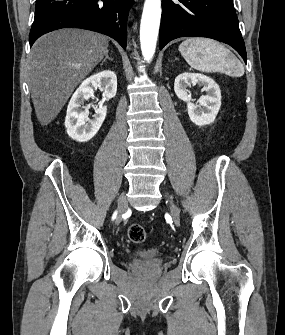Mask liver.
I'll return each mask as SVG.
<instances>
[{
	"instance_id": "6515ba94",
	"label": "liver",
	"mask_w": 285,
	"mask_h": 335,
	"mask_svg": "<svg viewBox=\"0 0 285 335\" xmlns=\"http://www.w3.org/2000/svg\"><path fill=\"white\" fill-rule=\"evenodd\" d=\"M102 34L66 28L45 34L31 48L28 86L41 126L50 124L78 84L108 54Z\"/></svg>"
}]
</instances>
